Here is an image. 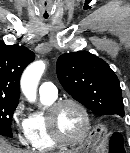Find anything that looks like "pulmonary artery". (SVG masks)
Returning a JSON list of instances; mask_svg holds the SVG:
<instances>
[{
	"mask_svg": "<svg viewBox=\"0 0 130 153\" xmlns=\"http://www.w3.org/2000/svg\"><path fill=\"white\" fill-rule=\"evenodd\" d=\"M39 93L42 96H47V97H50V98H56L57 94H58V90L52 82L45 81L40 85Z\"/></svg>",
	"mask_w": 130,
	"mask_h": 153,
	"instance_id": "obj_1",
	"label": "pulmonary artery"
}]
</instances>
